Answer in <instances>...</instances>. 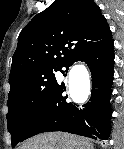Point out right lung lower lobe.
<instances>
[{"label":"right lung lower lobe","mask_w":124,"mask_h":149,"mask_svg":"<svg viewBox=\"0 0 124 149\" xmlns=\"http://www.w3.org/2000/svg\"><path fill=\"white\" fill-rule=\"evenodd\" d=\"M111 38L102 46L78 57L92 75V94L89 102L79 106L67 100L65 85L57 84L26 126L20 142L42 132L63 131L93 139L107 140L110 135L114 50ZM63 71L64 75H67Z\"/></svg>","instance_id":"98d812e1"}]
</instances>
